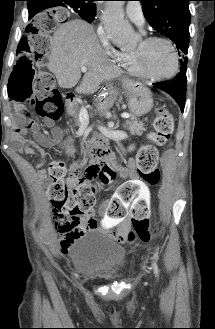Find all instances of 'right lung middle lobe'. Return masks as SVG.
Instances as JSON below:
<instances>
[{"label": "right lung middle lobe", "instance_id": "dd1d6c3e", "mask_svg": "<svg viewBox=\"0 0 215 329\" xmlns=\"http://www.w3.org/2000/svg\"><path fill=\"white\" fill-rule=\"evenodd\" d=\"M65 8L69 11H74L85 21L91 23L95 17V9L78 1H65Z\"/></svg>", "mask_w": 215, "mask_h": 329}]
</instances>
